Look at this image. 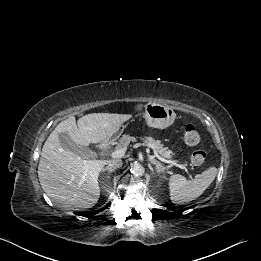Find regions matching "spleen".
<instances>
[{"label":"spleen","mask_w":261,"mask_h":261,"mask_svg":"<svg viewBox=\"0 0 261 261\" xmlns=\"http://www.w3.org/2000/svg\"><path fill=\"white\" fill-rule=\"evenodd\" d=\"M217 175L216 167H210L197 174L193 180L175 174L169 178L170 198L175 204L188 203L195 200L210 186Z\"/></svg>","instance_id":"spleen-1"}]
</instances>
